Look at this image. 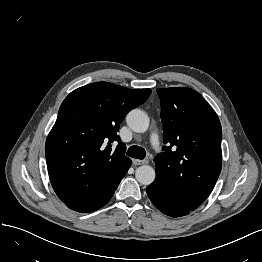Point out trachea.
<instances>
[{
	"mask_svg": "<svg viewBox=\"0 0 262 262\" xmlns=\"http://www.w3.org/2000/svg\"><path fill=\"white\" fill-rule=\"evenodd\" d=\"M127 155L132 157V158H136V159H144L146 156V151L142 148V147H138V146H131L128 150H127Z\"/></svg>",
	"mask_w": 262,
	"mask_h": 262,
	"instance_id": "1",
	"label": "trachea"
}]
</instances>
